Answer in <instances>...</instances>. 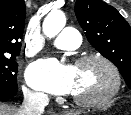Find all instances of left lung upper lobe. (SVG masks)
Masks as SVG:
<instances>
[{
	"instance_id": "5c2ea615",
	"label": "left lung upper lobe",
	"mask_w": 131,
	"mask_h": 115,
	"mask_svg": "<svg viewBox=\"0 0 131 115\" xmlns=\"http://www.w3.org/2000/svg\"><path fill=\"white\" fill-rule=\"evenodd\" d=\"M75 14L90 44L113 62L131 89V28L102 0H77Z\"/></svg>"
}]
</instances>
